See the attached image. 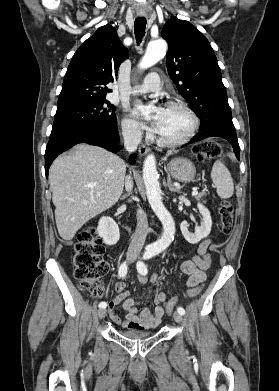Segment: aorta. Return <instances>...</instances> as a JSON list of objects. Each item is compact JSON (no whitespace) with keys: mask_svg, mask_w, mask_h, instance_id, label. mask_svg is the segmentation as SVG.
Instances as JSON below:
<instances>
[{"mask_svg":"<svg viewBox=\"0 0 279 391\" xmlns=\"http://www.w3.org/2000/svg\"><path fill=\"white\" fill-rule=\"evenodd\" d=\"M166 50L167 43L163 39H157L149 42L145 55L141 59L138 67L140 69H147L153 66L165 55ZM143 181L149 204L163 225V234L161 238L152 244V248L155 251L161 252L173 241L175 224L171 214L162 202L161 189L156 168V159L153 154H149L144 160Z\"/></svg>","mask_w":279,"mask_h":391,"instance_id":"obj_1","label":"aorta"}]
</instances>
